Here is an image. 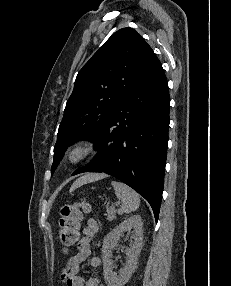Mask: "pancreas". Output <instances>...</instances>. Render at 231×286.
<instances>
[{
  "mask_svg": "<svg viewBox=\"0 0 231 286\" xmlns=\"http://www.w3.org/2000/svg\"><path fill=\"white\" fill-rule=\"evenodd\" d=\"M116 213H119V211L116 210L114 207L108 208V209H107V214H106L107 220L111 221V220L115 219Z\"/></svg>",
  "mask_w": 231,
  "mask_h": 286,
  "instance_id": "1",
  "label": "pancreas"
}]
</instances>
